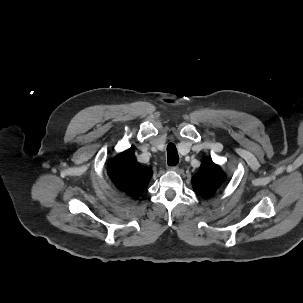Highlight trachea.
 <instances>
[{
  "instance_id": "obj_1",
  "label": "trachea",
  "mask_w": 303,
  "mask_h": 303,
  "mask_svg": "<svg viewBox=\"0 0 303 303\" xmlns=\"http://www.w3.org/2000/svg\"><path fill=\"white\" fill-rule=\"evenodd\" d=\"M167 157L169 166H175L179 162L177 149L173 143H169L167 146Z\"/></svg>"
}]
</instances>
